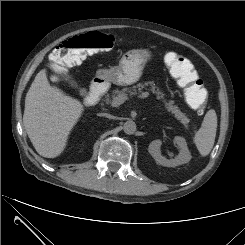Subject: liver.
I'll list each match as a JSON object with an SVG mask.
<instances>
[{
	"mask_svg": "<svg viewBox=\"0 0 245 245\" xmlns=\"http://www.w3.org/2000/svg\"><path fill=\"white\" fill-rule=\"evenodd\" d=\"M46 72L42 69L36 75L26 94L23 123L35 150L55 158L65 149L84 108L78 99L51 86Z\"/></svg>",
	"mask_w": 245,
	"mask_h": 245,
	"instance_id": "1",
	"label": "liver"
}]
</instances>
